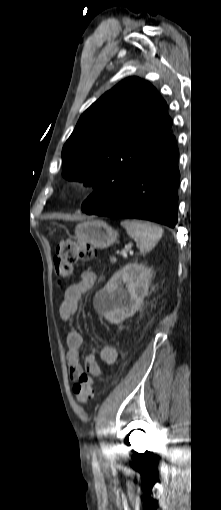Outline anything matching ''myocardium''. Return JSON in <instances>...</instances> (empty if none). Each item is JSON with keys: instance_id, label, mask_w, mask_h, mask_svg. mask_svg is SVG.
Segmentation results:
<instances>
[{"instance_id": "myocardium-1", "label": "myocardium", "mask_w": 221, "mask_h": 510, "mask_svg": "<svg viewBox=\"0 0 221 510\" xmlns=\"http://www.w3.org/2000/svg\"><path fill=\"white\" fill-rule=\"evenodd\" d=\"M85 190V184L80 181H72L65 188V195L68 198H77Z\"/></svg>"}]
</instances>
